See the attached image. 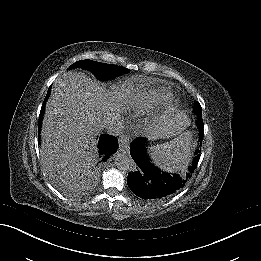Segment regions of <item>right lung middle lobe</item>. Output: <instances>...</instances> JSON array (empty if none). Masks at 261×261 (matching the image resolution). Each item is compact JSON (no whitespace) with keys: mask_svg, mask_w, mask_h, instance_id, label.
<instances>
[{"mask_svg":"<svg viewBox=\"0 0 261 261\" xmlns=\"http://www.w3.org/2000/svg\"><path fill=\"white\" fill-rule=\"evenodd\" d=\"M75 66L86 68L92 71L98 78L103 80L112 78L121 73H127L129 71L128 69L120 66L90 60L78 61L71 65L72 68ZM101 166L102 164L100 162V158L98 154H96L93 162L89 163L88 167L85 170H80L78 173L86 172V174L88 175L87 177H89L88 179L90 181V179L92 180L93 176H96ZM75 173L77 172L72 173V171L67 170L65 172L55 173L51 177L58 187L65 189L71 187V182L73 181Z\"/></svg>","mask_w":261,"mask_h":261,"instance_id":"obj_1","label":"right lung middle lobe"}]
</instances>
